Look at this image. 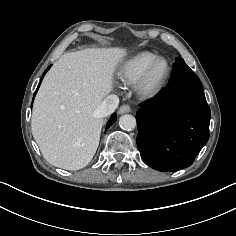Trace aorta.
<instances>
[{"label":"aorta","mask_w":236,"mask_h":236,"mask_svg":"<svg viewBox=\"0 0 236 236\" xmlns=\"http://www.w3.org/2000/svg\"><path fill=\"white\" fill-rule=\"evenodd\" d=\"M119 125L123 130H132L136 127V119L130 114L122 115L119 119Z\"/></svg>","instance_id":"obj_1"}]
</instances>
